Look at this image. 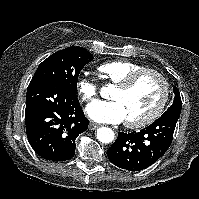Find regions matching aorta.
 <instances>
[{
  "instance_id": "obj_1",
  "label": "aorta",
  "mask_w": 199,
  "mask_h": 199,
  "mask_svg": "<svg viewBox=\"0 0 199 199\" xmlns=\"http://www.w3.org/2000/svg\"><path fill=\"white\" fill-rule=\"evenodd\" d=\"M106 88H103L101 93L104 94ZM97 139L102 143H110L114 140V132L107 127H100L96 132Z\"/></svg>"
}]
</instances>
